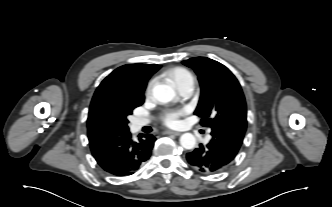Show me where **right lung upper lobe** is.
I'll return each instance as SVG.
<instances>
[{
    "label": "right lung upper lobe",
    "instance_id": "right-lung-upper-lobe-1",
    "mask_svg": "<svg viewBox=\"0 0 332 207\" xmlns=\"http://www.w3.org/2000/svg\"><path fill=\"white\" fill-rule=\"evenodd\" d=\"M160 67V65L139 63L124 65L114 70L101 82L92 98L87 120L90 143L112 136L97 121L100 110L122 96H144L147 81Z\"/></svg>",
    "mask_w": 332,
    "mask_h": 207
}]
</instances>
